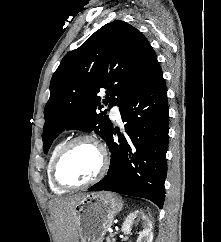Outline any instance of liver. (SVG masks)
I'll use <instances>...</instances> for the list:
<instances>
[{"label":"liver","mask_w":221,"mask_h":242,"mask_svg":"<svg viewBox=\"0 0 221 242\" xmlns=\"http://www.w3.org/2000/svg\"><path fill=\"white\" fill-rule=\"evenodd\" d=\"M86 195L56 198L51 201V214L54 218L56 242H77L78 227L73 209Z\"/></svg>","instance_id":"liver-1"}]
</instances>
